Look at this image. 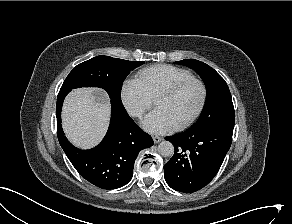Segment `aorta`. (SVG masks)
Here are the masks:
<instances>
[{"instance_id":"aorta-1","label":"aorta","mask_w":292,"mask_h":224,"mask_svg":"<svg viewBox=\"0 0 292 224\" xmlns=\"http://www.w3.org/2000/svg\"><path fill=\"white\" fill-rule=\"evenodd\" d=\"M158 152L163 157H170L174 154V146L169 141H162L158 145Z\"/></svg>"}]
</instances>
